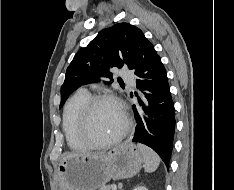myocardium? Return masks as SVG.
<instances>
[{
	"label": "myocardium",
	"mask_w": 234,
	"mask_h": 190,
	"mask_svg": "<svg viewBox=\"0 0 234 190\" xmlns=\"http://www.w3.org/2000/svg\"><path fill=\"white\" fill-rule=\"evenodd\" d=\"M101 102H112L120 108L124 117V126L115 136L111 137L110 139L105 141H96L90 134V120L93 109ZM131 126L132 121L125 105L120 99L111 94H98L90 96L83 105L79 117V135L89 147L94 148L108 147L119 142L126 136L131 129Z\"/></svg>",
	"instance_id": "f54148a6"
}]
</instances>
